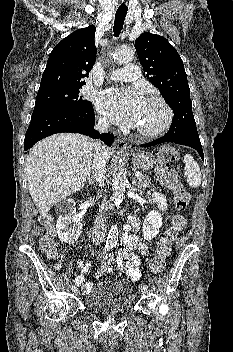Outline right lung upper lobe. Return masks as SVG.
Listing matches in <instances>:
<instances>
[{
	"instance_id": "obj_1",
	"label": "right lung upper lobe",
	"mask_w": 233,
	"mask_h": 352,
	"mask_svg": "<svg viewBox=\"0 0 233 352\" xmlns=\"http://www.w3.org/2000/svg\"><path fill=\"white\" fill-rule=\"evenodd\" d=\"M96 27L81 28L60 41L50 53L41 84L84 85L96 60Z\"/></svg>"
}]
</instances>
